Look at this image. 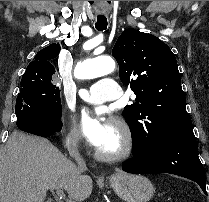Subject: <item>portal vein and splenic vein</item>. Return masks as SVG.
Returning a JSON list of instances; mask_svg holds the SVG:
<instances>
[{
    "label": "portal vein and splenic vein",
    "mask_w": 209,
    "mask_h": 202,
    "mask_svg": "<svg viewBox=\"0 0 209 202\" xmlns=\"http://www.w3.org/2000/svg\"><path fill=\"white\" fill-rule=\"evenodd\" d=\"M56 194L58 197H60V199H65L64 192L61 188H56ZM66 202H73V201L67 199Z\"/></svg>",
    "instance_id": "obj_1"
}]
</instances>
